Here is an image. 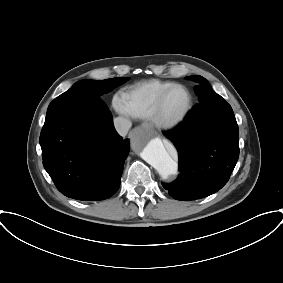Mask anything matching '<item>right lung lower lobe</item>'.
Instances as JSON below:
<instances>
[{"instance_id":"1","label":"right lung lower lobe","mask_w":283,"mask_h":283,"mask_svg":"<svg viewBox=\"0 0 283 283\" xmlns=\"http://www.w3.org/2000/svg\"><path fill=\"white\" fill-rule=\"evenodd\" d=\"M39 142L43 166L65 196L99 201L119 189L129 141L103 101L47 115Z\"/></svg>"}]
</instances>
